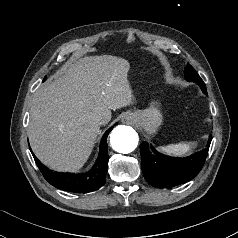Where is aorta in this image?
<instances>
[{
	"label": "aorta",
	"mask_w": 238,
	"mask_h": 238,
	"mask_svg": "<svg viewBox=\"0 0 238 238\" xmlns=\"http://www.w3.org/2000/svg\"><path fill=\"white\" fill-rule=\"evenodd\" d=\"M110 144L116 152L128 154L137 147L138 134L130 126L119 125L110 135Z\"/></svg>",
	"instance_id": "aorta-1"
}]
</instances>
